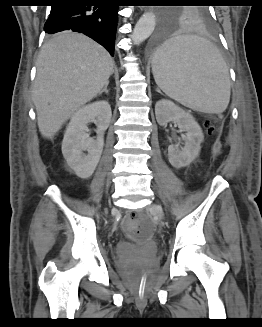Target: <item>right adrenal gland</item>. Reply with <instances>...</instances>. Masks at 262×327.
Wrapping results in <instances>:
<instances>
[{
	"label": "right adrenal gland",
	"instance_id": "1",
	"mask_svg": "<svg viewBox=\"0 0 262 327\" xmlns=\"http://www.w3.org/2000/svg\"><path fill=\"white\" fill-rule=\"evenodd\" d=\"M107 87H108V83L104 86V88L99 92V95H102V93H106V94H108L109 93V91H108V89H107Z\"/></svg>",
	"mask_w": 262,
	"mask_h": 327
}]
</instances>
